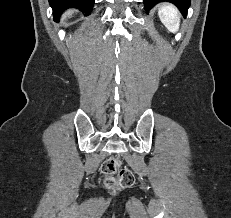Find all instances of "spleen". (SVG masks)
<instances>
[{
    "instance_id": "1",
    "label": "spleen",
    "mask_w": 231,
    "mask_h": 218,
    "mask_svg": "<svg viewBox=\"0 0 231 218\" xmlns=\"http://www.w3.org/2000/svg\"><path fill=\"white\" fill-rule=\"evenodd\" d=\"M161 22L170 31L175 33L180 26V16L177 8L172 4H163L158 10Z\"/></svg>"
}]
</instances>
